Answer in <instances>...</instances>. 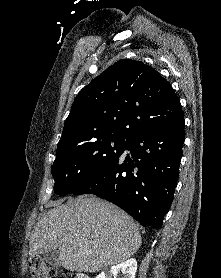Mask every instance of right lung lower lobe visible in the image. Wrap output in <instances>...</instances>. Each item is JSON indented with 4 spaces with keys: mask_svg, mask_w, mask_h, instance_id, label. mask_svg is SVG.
Masks as SVG:
<instances>
[{
    "mask_svg": "<svg viewBox=\"0 0 221 278\" xmlns=\"http://www.w3.org/2000/svg\"><path fill=\"white\" fill-rule=\"evenodd\" d=\"M184 126L182 117L130 136L125 150L132 159L122 154L73 194H94L121 207L141 225L160 229L178 180Z\"/></svg>",
    "mask_w": 221,
    "mask_h": 278,
    "instance_id": "right-lung-lower-lobe-1",
    "label": "right lung lower lobe"
}]
</instances>
